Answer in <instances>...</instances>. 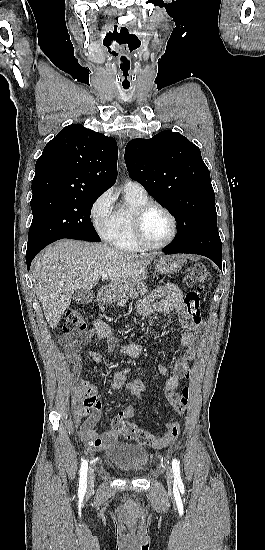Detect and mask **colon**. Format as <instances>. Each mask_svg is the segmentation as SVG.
<instances>
[{"mask_svg": "<svg viewBox=\"0 0 265 550\" xmlns=\"http://www.w3.org/2000/svg\"><path fill=\"white\" fill-rule=\"evenodd\" d=\"M208 280V272L203 264H197L191 267L186 276L187 285L195 287L185 295V304L187 312L195 323H201V295L204 286ZM88 326L86 317L77 308H69L65 313L63 322V331L65 333H74L84 331ZM186 377H189L187 373ZM190 392L188 387H184L180 392L167 393L165 398L171 404L173 409L180 415L186 413L189 405ZM77 412L76 420L78 423L90 421L101 403L96 389L91 384H85L82 395L76 401ZM167 431L162 437H156L148 430L138 427L136 424L125 420L122 417H115L112 420V431L124 437L127 440H134L143 445L154 448H163L178 439L181 433L180 424L177 421H170L166 424Z\"/></svg>", "mask_w": 265, "mask_h": 550, "instance_id": "1", "label": "colon"}]
</instances>
